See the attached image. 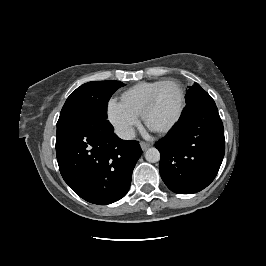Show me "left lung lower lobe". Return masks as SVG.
Returning <instances> with one entry per match:
<instances>
[{
    "instance_id": "0a47b994",
    "label": "left lung lower lobe",
    "mask_w": 266,
    "mask_h": 266,
    "mask_svg": "<svg viewBox=\"0 0 266 266\" xmlns=\"http://www.w3.org/2000/svg\"><path fill=\"white\" fill-rule=\"evenodd\" d=\"M155 147L161 155L160 175L171 191L192 194L206 188L225 153L224 127L211 96L189 103L179 123Z\"/></svg>"
}]
</instances>
